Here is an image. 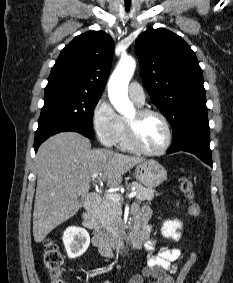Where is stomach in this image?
Returning a JSON list of instances; mask_svg holds the SVG:
<instances>
[{
	"instance_id": "1",
	"label": "stomach",
	"mask_w": 233,
	"mask_h": 283,
	"mask_svg": "<svg viewBox=\"0 0 233 283\" xmlns=\"http://www.w3.org/2000/svg\"><path fill=\"white\" fill-rule=\"evenodd\" d=\"M136 179L148 188H155L162 184L167 178L165 168L156 160H146L135 169Z\"/></svg>"
}]
</instances>
